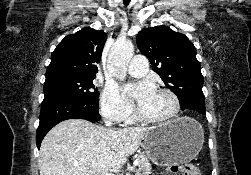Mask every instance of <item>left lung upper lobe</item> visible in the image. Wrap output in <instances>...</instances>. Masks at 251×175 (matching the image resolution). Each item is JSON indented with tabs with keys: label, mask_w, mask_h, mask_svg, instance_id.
I'll return each mask as SVG.
<instances>
[{
	"label": "left lung upper lobe",
	"mask_w": 251,
	"mask_h": 175,
	"mask_svg": "<svg viewBox=\"0 0 251 175\" xmlns=\"http://www.w3.org/2000/svg\"><path fill=\"white\" fill-rule=\"evenodd\" d=\"M136 42L153 65V70L178 96L181 105H205L204 79L196 59V48L184 34L167 26H156L141 30Z\"/></svg>",
	"instance_id": "5c2ea615"
}]
</instances>
